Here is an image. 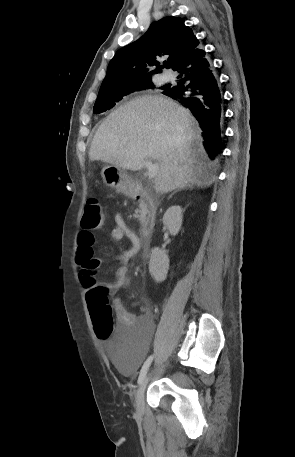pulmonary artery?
<instances>
[{
    "label": "pulmonary artery",
    "instance_id": "obj_1",
    "mask_svg": "<svg viewBox=\"0 0 295 457\" xmlns=\"http://www.w3.org/2000/svg\"><path fill=\"white\" fill-rule=\"evenodd\" d=\"M162 79H163L164 81H170V80L172 79V74L169 73V72H164V73L162 74Z\"/></svg>",
    "mask_w": 295,
    "mask_h": 457
}]
</instances>
